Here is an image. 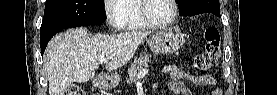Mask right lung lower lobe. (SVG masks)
Returning <instances> with one entry per match:
<instances>
[{"label":"right lung lower lobe","instance_id":"98d812e1","mask_svg":"<svg viewBox=\"0 0 277 95\" xmlns=\"http://www.w3.org/2000/svg\"><path fill=\"white\" fill-rule=\"evenodd\" d=\"M62 29H55L51 31H47L45 33L40 34V47H41V54L43 55V52L46 49L47 43L49 40L59 31Z\"/></svg>","mask_w":277,"mask_h":95}]
</instances>
